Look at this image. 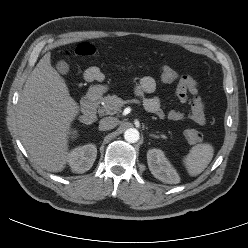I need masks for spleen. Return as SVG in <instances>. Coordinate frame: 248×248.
Segmentation results:
<instances>
[{"label":"spleen","mask_w":248,"mask_h":248,"mask_svg":"<svg viewBox=\"0 0 248 248\" xmlns=\"http://www.w3.org/2000/svg\"><path fill=\"white\" fill-rule=\"evenodd\" d=\"M213 155L214 149L208 143L193 146L184 158V164L189 175L197 176L202 173L211 162Z\"/></svg>","instance_id":"spleen-1"}]
</instances>
